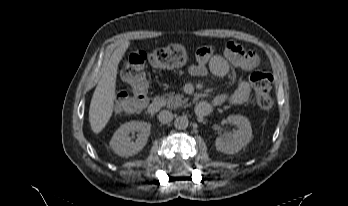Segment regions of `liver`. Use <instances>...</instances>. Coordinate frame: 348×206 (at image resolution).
Masks as SVG:
<instances>
[{
  "label": "liver",
  "instance_id": "6515ba94",
  "mask_svg": "<svg viewBox=\"0 0 348 206\" xmlns=\"http://www.w3.org/2000/svg\"><path fill=\"white\" fill-rule=\"evenodd\" d=\"M129 45V41H125L119 45L102 68L101 78L95 88L89 108L90 126L96 134L105 128L112 116L117 68Z\"/></svg>",
  "mask_w": 348,
  "mask_h": 206
}]
</instances>
